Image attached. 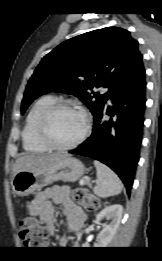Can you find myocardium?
I'll return each instance as SVG.
<instances>
[{
	"instance_id": "myocardium-1",
	"label": "myocardium",
	"mask_w": 162,
	"mask_h": 261,
	"mask_svg": "<svg viewBox=\"0 0 162 261\" xmlns=\"http://www.w3.org/2000/svg\"><path fill=\"white\" fill-rule=\"evenodd\" d=\"M74 110L79 112L84 118V129L81 135L73 142L65 145L55 143L49 133V123L55 113L60 110ZM91 130V119L89 114L81 107L69 101H58L49 106L41 115L38 125L37 133L41 143L48 149L54 151H67L80 145L89 135Z\"/></svg>"
}]
</instances>
